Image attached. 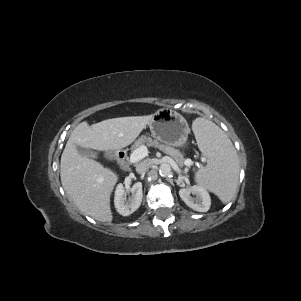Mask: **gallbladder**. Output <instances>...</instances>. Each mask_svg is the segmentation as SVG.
I'll return each mask as SVG.
<instances>
[{
  "mask_svg": "<svg viewBox=\"0 0 301 301\" xmlns=\"http://www.w3.org/2000/svg\"><path fill=\"white\" fill-rule=\"evenodd\" d=\"M77 150H78L79 154L82 156L96 158V154L89 148H83L81 146H77Z\"/></svg>",
  "mask_w": 301,
  "mask_h": 301,
  "instance_id": "bac80fb5",
  "label": "gallbladder"
}]
</instances>
